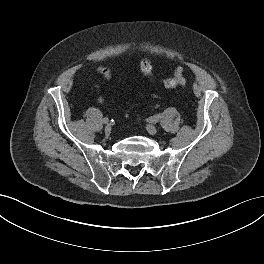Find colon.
I'll use <instances>...</instances> for the list:
<instances>
[{
	"label": "colon",
	"mask_w": 264,
	"mask_h": 264,
	"mask_svg": "<svg viewBox=\"0 0 264 264\" xmlns=\"http://www.w3.org/2000/svg\"><path fill=\"white\" fill-rule=\"evenodd\" d=\"M140 70L141 72L148 76H152L153 72V64L150 60L148 59H143L140 62ZM98 72L105 78V79H110L111 77V70L107 67H99ZM161 83L163 84L164 87L172 89V88H177L179 86H184L186 84V79L184 77V71L182 68H178L175 72V75L172 77L165 78L161 80Z\"/></svg>",
	"instance_id": "obj_1"
}]
</instances>
